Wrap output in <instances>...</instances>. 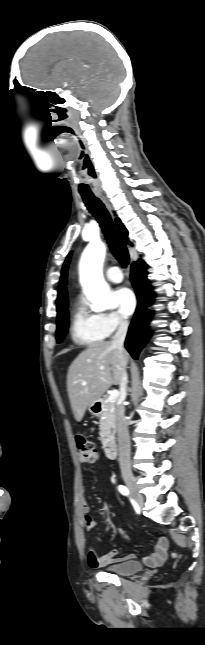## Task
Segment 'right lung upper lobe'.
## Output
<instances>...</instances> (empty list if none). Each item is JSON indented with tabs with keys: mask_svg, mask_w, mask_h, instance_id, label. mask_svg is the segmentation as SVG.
<instances>
[{
	"mask_svg": "<svg viewBox=\"0 0 205 645\" xmlns=\"http://www.w3.org/2000/svg\"><path fill=\"white\" fill-rule=\"evenodd\" d=\"M117 226L119 228V231L123 237H126L128 232L126 228L123 226V224L120 222L119 219H116ZM71 254H69L66 258V261L63 265L62 268V274L60 278V284L58 286V298H57V314L59 317L60 314L63 312V310L68 306V299H67V291H66V277H67V269H68V264L70 260Z\"/></svg>",
	"mask_w": 205,
	"mask_h": 645,
	"instance_id": "1",
	"label": "right lung upper lobe"
}]
</instances>
